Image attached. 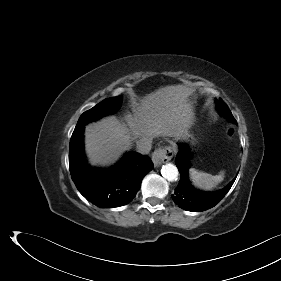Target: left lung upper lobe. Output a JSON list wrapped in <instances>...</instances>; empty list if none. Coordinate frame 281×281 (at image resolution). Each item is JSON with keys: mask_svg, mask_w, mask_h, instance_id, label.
<instances>
[{"mask_svg": "<svg viewBox=\"0 0 281 281\" xmlns=\"http://www.w3.org/2000/svg\"><path fill=\"white\" fill-rule=\"evenodd\" d=\"M217 107L221 115L225 116L231 122L236 123V120L234 119L228 106L221 99L217 101Z\"/></svg>", "mask_w": 281, "mask_h": 281, "instance_id": "5c2ea615", "label": "left lung upper lobe"}]
</instances>
